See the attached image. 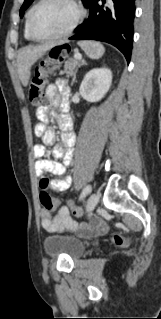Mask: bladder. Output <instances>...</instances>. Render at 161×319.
<instances>
[{
    "label": "bladder",
    "instance_id": "31cf9c89",
    "mask_svg": "<svg viewBox=\"0 0 161 319\" xmlns=\"http://www.w3.org/2000/svg\"><path fill=\"white\" fill-rule=\"evenodd\" d=\"M44 247L51 256L78 258L85 252L84 241L67 235H50L44 240Z\"/></svg>",
    "mask_w": 161,
    "mask_h": 319
}]
</instances>
